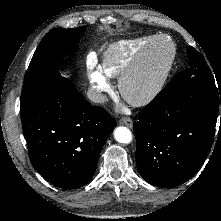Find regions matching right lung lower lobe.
I'll use <instances>...</instances> for the list:
<instances>
[{
	"instance_id": "1",
	"label": "right lung lower lobe",
	"mask_w": 221,
	"mask_h": 221,
	"mask_svg": "<svg viewBox=\"0 0 221 221\" xmlns=\"http://www.w3.org/2000/svg\"><path fill=\"white\" fill-rule=\"evenodd\" d=\"M23 133L36 171L62 189L86 185L115 127L101 107H92L74 84L59 77L20 106Z\"/></svg>"
}]
</instances>
